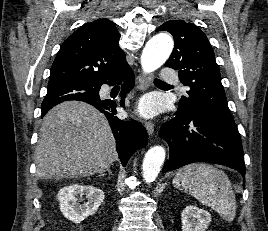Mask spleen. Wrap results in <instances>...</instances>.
Returning a JSON list of instances; mask_svg holds the SVG:
<instances>
[{"label": "spleen", "instance_id": "obj_1", "mask_svg": "<svg viewBox=\"0 0 268 231\" xmlns=\"http://www.w3.org/2000/svg\"><path fill=\"white\" fill-rule=\"evenodd\" d=\"M173 184L211 207L225 220H234L237 208L235 194L222 170L206 163L189 164L178 170Z\"/></svg>", "mask_w": 268, "mask_h": 231}]
</instances>
